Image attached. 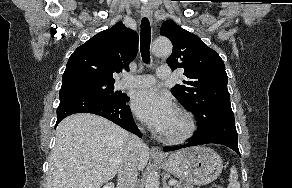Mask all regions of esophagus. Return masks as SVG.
Instances as JSON below:
<instances>
[{
	"mask_svg": "<svg viewBox=\"0 0 292 188\" xmlns=\"http://www.w3.org/2000/svg\"><path fill=\"white\" fill-rule=\"evenodd\" d=\"M142 16L147 17L150 21L152 20V11L148 6H144L142 8ZM150 153L154 157L163 158L164 154L162 153L161 149L157 146L151 148Z\"/></svg>",
	"mask_w": 292,
	"mask_h": 188,
	"instance_id": "34e87169",
	"label": "esophagus"
}]
</instances>
